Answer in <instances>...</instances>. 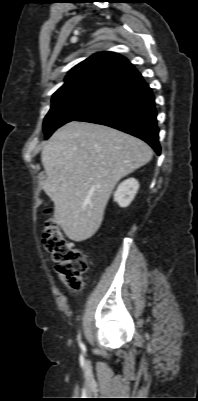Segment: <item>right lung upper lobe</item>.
<instances>
[{
	"instance_id": "1",
	"label": "right lung upper lobe",
	"mask_w": 198,
	"mask_h": 401,
	"mask_svg": "<svg viewBox=\"0 0 198 401\" xmlns=\"http://www.w3.org/2000/svg\"><path fill=\"white\" fill-rule=\"evenodd\" d=\"M136 72L134 66L121 55L96 53L69 71L65 83L53 97L84 88L111 89Z\"/></svg>"
}]
</instances>
